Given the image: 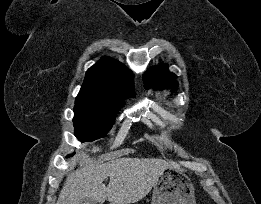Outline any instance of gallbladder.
<instances>
[{"instance_id": "gallbladder-1", "label": "gallbladder", "mask_w": 261, "mask_h": 204, "mask_svg": "<svg viewBox=\"0 0 261 204\" xmlns=\"http://www.w3.org/2000/svg\"><path fill=\"white\" fill-rule=\"evenodd\" d=\"M79 204H97V202L93 199H82Z\"/></svg>"}]
</instances>
